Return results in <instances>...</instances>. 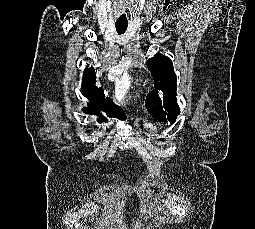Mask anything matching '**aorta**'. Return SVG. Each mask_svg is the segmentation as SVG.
<instances>
[{"label":"aorta","instance_id":"obj_1","mask_svg":"<svg viewBox=\"0 0 255 229\" xmlns=\"http://www.w3.org/2000/svg\"><path fill=\"white\" fill-rule=\"evenodd\" d=\"M130 79L128 77H123L115 85V100L120 103L125 97L127 90L130 87Z\"/></svg>","mask_w":255,"mask_h":229}]
</instances>
